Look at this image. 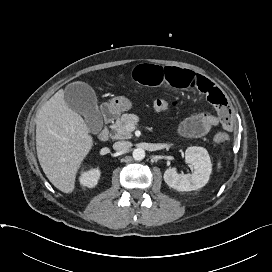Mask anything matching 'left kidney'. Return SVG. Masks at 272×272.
<instances>
[{
	"label": "left kidney",
	"mask_w": 272,
	"mask_h": 272,
	"mask_svg": "<svg viewBox=\"0 0 272 272\" xmlns=\"http://www.w3.org/2000/svg\"><path fill=\"white\" fill-rule=\"evenodd\" d=\"M185 161L194 169L193 174H179L176 168H168L164 173L167 185L177 191H193L205 186L212 171L207 150L198 146L188 147Z\"/></svg>",
	"instance_id": "left-kidney-1"
}]
</instances>
